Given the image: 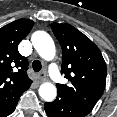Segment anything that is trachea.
<instances>
[{"mask_svg": "<svg viewBox=\"0 0 117 117\" xmlns=\"http://www.w3.org/2000/svg\"><path fill=\"white\" fill-rule=\"evenodd\" d=\"M32 67L35 72H39L42 68V64L39 60H34L32 63Z\"/></svg>", "mask_w": 117, "mask_h": 117, "instance_id": "3493384b", "label": "trachea"}]
</instances>
